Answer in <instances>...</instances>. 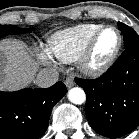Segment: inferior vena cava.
Here are the masks:
<instances>
[{
	"instance_id": "obj_1",
	"label": "inferior vena cava",
	"mask_w": 139,
	"mask_h": 139,
	"mask_svg": "<svg viewBox=\"0 0 139 139\" xmlns=\"http://www.w3.org/2000/svg\"><path fill=\"white\" fill-rule=\"evenodd\" d=\"M59 73L56 69H43L36 77L35 84L41 88L52 86L58 81Z\"/></svg>"
}]
</instances>
